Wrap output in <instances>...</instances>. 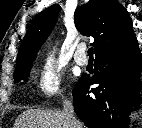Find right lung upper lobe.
<instances>
[{"label":"right lung upper lobe","instance_id":"1","mask_svg":"<svg viewBox=\"0 0 142 128\" xmlns=\"http://www.w3.org/2000/svg\"><path fill=\"white\" fill-rule=\"evenodd\" d=\"M60 10L59 5H52L34 18L21 43L16 65L35 59ZM74 21L81 34L94 38L96 59L116 53L136 41L128 12L117 0H90L75 10Z\"/></svg>","mask_w":142,"mask_h":128}]
</instances>
